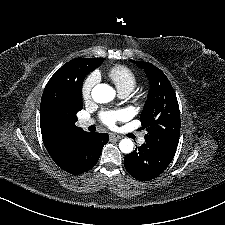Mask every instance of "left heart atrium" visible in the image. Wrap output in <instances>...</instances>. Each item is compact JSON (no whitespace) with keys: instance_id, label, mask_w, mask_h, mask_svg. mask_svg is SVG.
I'll use <instances>...</instances> for the list:
<instances>
[{"instance_id":"obj_1","label":"left heart atrium","mask_w":225,"mask_h":225,"mask_svg":"<svg viewBox=\"0 0 225 225\" xmlns=\"http://www.w3.org/2000/svg\"><path fill=\"white\" fill-rule=\"evenodd\" d=\"M102 121L110 128H114L117 122L125 121L128 118V113L125 110H112L101 113Z\"/></svg>"}]
</instances>
